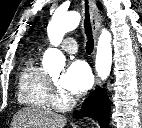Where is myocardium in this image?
Here are the masks:
<instances>
[{
	"mask_svg": "<svg viewBox=\"0 0 142 128\" xmlns=\"http://www.w3.org/2000/svg\"><path fill=\"white\" fill-rule=\"evenodd\" d=\"M51 105L56 109L66 110L69 109L73 100L66 96L62 90L58 87L55 80H51Z\"/></svg>",
	"mask_w": 142,
	"mask_h": 128,
	"instance_id": "1",
	"label": "myocardium"
}]
</instances>
